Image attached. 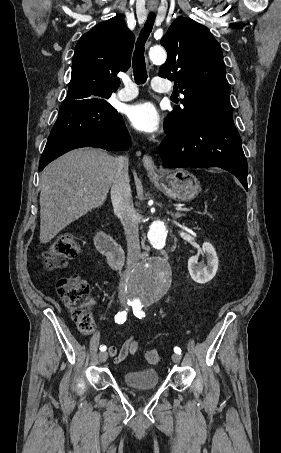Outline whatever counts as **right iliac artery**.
I'll list each match as a JSON object with an SVG mask.
<instances>
[{
    "label": "right iliac artery",
    "mask_w": 281,
    "mask_h": 453,
    "mask_svg": "<svg viewBox=\"0 0 281 453\" xmlns=\"http://www.w3.org/2000/svg\"><path fill=\"white\" fill-rule=\"evenodd\" d=\"M126 312H118L117 315H115V322L118 324H123L126 321ZM101 351L106 350V346H103L100 348Z\"/></svg>",
    "instance_id": "1"
}]
</instances>
